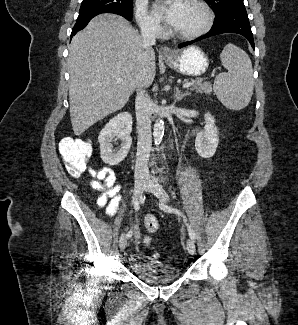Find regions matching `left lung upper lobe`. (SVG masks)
Here are the masks:
<instances>
[{"label":"left lung upper lobe","mask_w":298,"mask_h":325,"mask_svg":"<svg viewBox=\"0 0 298 325\" xmlns=\"http://www.w3.org/2000/svg\"><path fill=\"white\" fill-rule=\"evenodd\" d=\"M215 11L216 17L221 16L224 12L236 8L244 7L243 0H206Z\"/></svg>","instance_id":"1"}]
</instances>
